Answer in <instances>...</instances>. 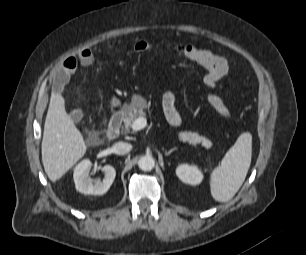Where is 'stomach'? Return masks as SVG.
Returning a JSON list of instances; mask_svg holds the SVG:
<instances>
[{
  "mask_svg": "<svg viewBox=\"0 0 306 255\" xmlns=\"http://www.w3.org/2000/svg\"><path fill=\"white\" fill-rule=\"evenodd\" d=\"M110 104L112 106H117V105L120 104V101L118 99H116V98H112L111 101H110Z\"/></svg>",
  "mask_w": 306,
  "mask_h": 255,
  "instance_id": "stomach-1",
  "label": "stomach"
}]
</instances>
